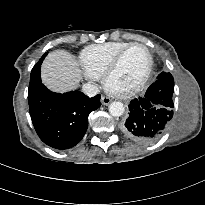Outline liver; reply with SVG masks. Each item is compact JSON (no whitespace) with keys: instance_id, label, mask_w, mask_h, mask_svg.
<instances>
[{"instance_id":"liver-1","label":"liver","mask_w":205,"mask_h":205,"mask_svg":"<svg viewBox=\"0 0 205 205\" xmlns=\"http://www.w3.org/2000/svg\"><path fill=\"white\" fill-rule=\"evenodd\" d=\"M41 77L50 90L66 92L78 86L81 71L73 55L64 50H56L44 60Z\"/></svg>"}]
</instances>
